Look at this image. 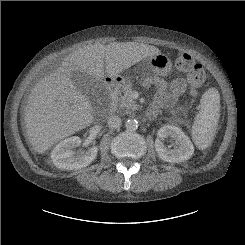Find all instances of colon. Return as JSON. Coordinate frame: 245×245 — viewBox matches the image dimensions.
Segmentation results:
<instances>
[{"label":"colon","instance_id":"obj_1","mask_svg":"<svg viewBox=\"0 0 245 245\" xmlns=\"http://www.w3.org/2000/svg\"><path fill=\"white\" fill-rule=\"evenodd\" d=\"M175 65L177 69L187 72L189 93L193 97L197 96L198 89L204 83L206 77L202 65L195 62L193 57L185 51L176 53Z\"/></svg>","mask_w":245,"mask_h":245}]
</instances>
